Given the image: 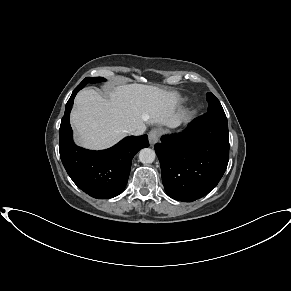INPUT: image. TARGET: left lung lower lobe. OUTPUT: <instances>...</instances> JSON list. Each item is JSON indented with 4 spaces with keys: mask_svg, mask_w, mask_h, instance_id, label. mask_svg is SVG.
Segmentation results:
<instances>
[{
    "mask_svg": "<svg viewBox=\"0 0 291 291\" xmlns=\"http://www.w3.org/2000/svg\"><path fill=\"white\" fill-rule=\"evenodd\" d=\"M167 194L192 202L213 190L229 160L225 113H205L181 133L162 136L155 144Z\"/></svg>",
    "mask_w": 291,
    "mask_h": 291,
    "instance_id": "0a47b994",
    "label": "left lung lower lobe"
}]
</instances>
